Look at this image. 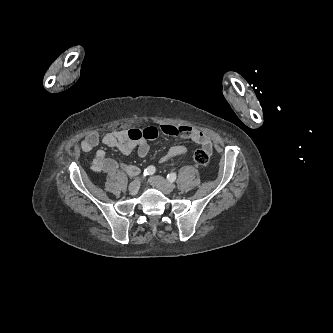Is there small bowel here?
Listing matches in <instances>:
<instances>
[{"mask_svg":"<svg viewBox=\"0 0 333 333\" xmlns=\"http://www.w3.org/2000/svg\"><path fill=\"white\" fill-rule=\"evenodd\" d=\"M165 134L175 137L189 138L202 146L209 155L213 150L212 142L208 134L201 130L187 125H169L163 124L160 126H151L143 129L131 130H115L106 133L102 138L93 132L87 135L81 142V149L90 151L95 148L100 142L104 145L115 148L123 154H130L134 150L138 156L145 157L149 153V145L147 140L156 138L159 134ZM185 153L183 147H173L163 158L162 161L180 156ZM92 166L96 170H103L112 173L118 169V164L111 159H108L103 150H97Z\"/></svg>","mask_w":333,"mask_h":333,"instance_id":"c3829d8e","label":"small bowel"}]
</instances>
